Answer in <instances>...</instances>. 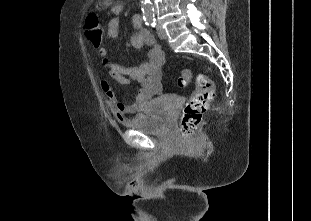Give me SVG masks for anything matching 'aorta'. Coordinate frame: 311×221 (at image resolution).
I'll return each instance as SVG.
<instances>
[{
    "label": "aorta",
    "instance_id": "obj_1",
    "mask_svg": "<svg viewBox=\"0 0 311 221\" xmlns=\"http://www.w3.org/2000/svg\"><path fill=\"white\" fill-rule=\"evenodd\" d=\"M141 8L143 10L144 20H153L154 8H153L150 0H142Z\"/></svg>",
    "mask_w": 311,
    "mask_h": 221
}]
</instances>
